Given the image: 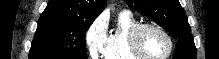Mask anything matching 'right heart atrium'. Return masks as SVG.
<instances>
[{
  "instance_id": "d8ad5b80",
  "label": "right heart atrium",
  "mask_w": 219,
  "mask_h": 59,
  "mask_svg": "<svg viewBox=\"0 0 219 59\" xmlns=\"http://www.w3.org/2000/svg\"><path fill=\"white\" fill-rule=\"evenodd\" d=\"M107 35L104 20L101 17L97 18L85 34V44L91 57L97 58L102 54L107 41Z\"/></svg>"
}]
</instances>
